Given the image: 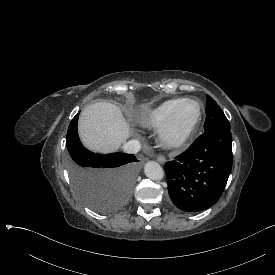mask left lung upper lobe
<instances>
[{"instance_id": "left-lung-upper-lobe-1", "label": "left lung upper lobe", "mask_w": 275, "mask_h": 275, "mask_svg": "<svg viewBox=\"0 0 275 275\" xmlns=\"http://www.w3.org/2000/svg\"><path fill=\"white\" fill-rule=\"evenodd\" d=\"M206 98L205 112L207 117L204 123V133L218 129H230V124L217 103L209 95Z\"/></svg>"}]
</instances>
